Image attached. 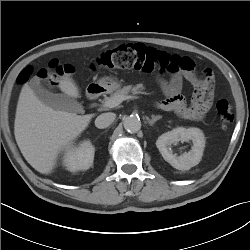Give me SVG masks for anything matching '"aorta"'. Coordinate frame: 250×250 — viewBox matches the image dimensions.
Here are the masks:
<instances>
[{
    "mask_svg": "<svg viewBox=\"0 0 250 250\" xmlns=\"http://www.w3.org/2000/svg\"><path fill=\"white\" fill-rule=\"evenodd\" d=\"M124 128L130 133H136L141 129V121L136 116H128L123 122Z\"/></svg>",
    "mask_w": 250,
    "mask_h": 250,
    "instance_id": "aorta-1",
    "label": "aorta"
}]
</instances>
